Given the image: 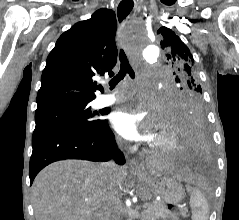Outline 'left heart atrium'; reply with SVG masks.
Masks as SVG:
<instances>
[{
	"instance_id": "1",
	"label": "left heart atrium",
	"mask_w": 239,
	"mask_h": 220,
	"mask_svg": "<svg viewBox=\"0 0 239 220\" xmlns=\"http://www.w3.org/2000/svg\"><path fill=\"white\" fill-rule=\"evenodd\" d=\"M135 102V110L124 108L116 112L112 118L115 130L125 139L134 141H149L154 137V128L158 114L156 111L146 109L144 98L133 95L130 97Z\"/></svg>"
}]
</instances>
